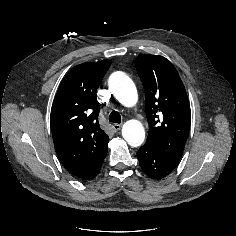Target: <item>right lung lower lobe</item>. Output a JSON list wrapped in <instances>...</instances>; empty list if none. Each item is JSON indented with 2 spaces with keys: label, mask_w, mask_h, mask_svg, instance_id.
<instances>
[{
  "label": "right lung lower lobe",
  "mask_w": 236,
  "mask_h": 236,
  "mask_svg": "<svg viewBox=\"0 0 236 236\" xmlns=\"http://www.w3.org/2000/svg\"><path fill=\"white\" fill-rule=\"evenodd\" d=\"M100 167L101 165L96 170H94L91 174H89L85 179H90V180L93 179L97 175L98 171L100 170Z\"/></svg>",
  "instance_id": "98d812e1"
}]
</instances>
